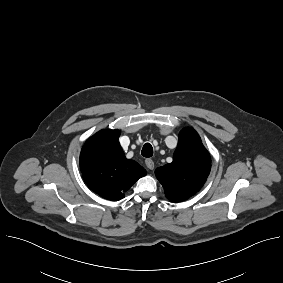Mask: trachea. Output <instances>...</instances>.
I'll return each instance as SVG.
<instances>
[{"label": "trachea", "instance_id": "3493384b", "mask_svg": "<svg viewBox=\"0 0 283 283\" xmlns=\"http://www.w3.org/2000/svg\"><path fill=\"white\" fill-rule=\"evenodd\" d=\"M141 154L144 157H147V158L152 157V155H153L152 145L150 143H146L142 148Z\"/></svg>", "mask_w": 283, "mask_h": 283}]
</instances>
